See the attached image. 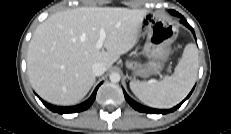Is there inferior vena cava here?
<instances>
[{
    "instance_id": "1",
    "label": "inferior vena cava",
    "mask_w": 231,
    "mask_h": 134,
    "mask_svg": "<svg viewBox=\"0 0 231 134\" xmlns=\"http://www.w3.org/2000/svg\"><path fill=\"white\" fill-rule=\"evenodd\" d=\"M92 71L95 76H100L106 71V67L101 62H96L92 65Z\"/></svg>"
}]
</instances>
